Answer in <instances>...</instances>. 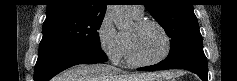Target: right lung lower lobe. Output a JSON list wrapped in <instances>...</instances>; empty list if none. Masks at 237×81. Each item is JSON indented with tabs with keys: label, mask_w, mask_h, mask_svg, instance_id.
<instances>
[{
	"label": "right lung lower lobe",
	"mask_w": 237,
	"mask_h": 81,
	"mask_svg": "<svg viewBox=\"0 0 237 81\" xmlns=\"http://www.w3.org/2000/svg\"><path fill=\"white\" fill-rule=\"evenodd\" d=\"M105 61L107 56L102 49L40 45L34 81H49L61 71L77 64H95Z\"/></svg>",
	"instance_id": "right-lung-lower-lobe-1"
}]
</instances>
